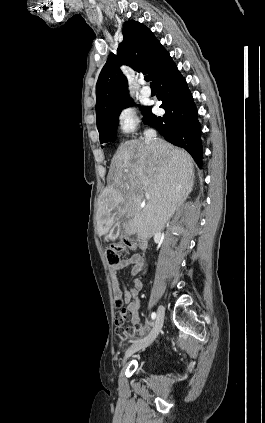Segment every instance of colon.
Masks as SVG:
<instances>
[{
    "instance_id": "1",
    "label": "colon",
    "mask_w": 265,
    "mask_h": 423,
    "mask_svg": "<svg viewBox=\"0 0 265 423\" xmlns=\"http://www.w3.org/2000/svg\"><path fill=\"white\" fill-rule=\"evenodd\" d=\"M135 248L136 244L129 238L122 237L114 240L111 245L107 248L105 252V257L108 265H117L120 262V253L123 252L126 248ZM117 304L119 307H122V300L117 299ZM130 318V314L125 310L121 309L119 316L117 317L116 323V332L120 337H124L131 328L125 330L123 324Z\"/></svg>"
}]
</instances>
